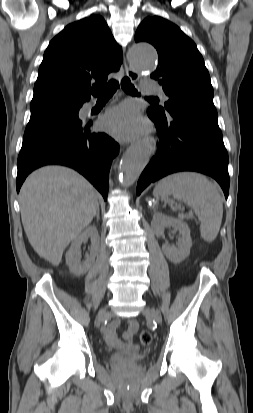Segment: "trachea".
<instances>
[{"label":"trachea","mask_w":253,"mask_h":413,"mask_svg":"<svg viewBox=\"0 0 253 413\" xmlns=\"http://www.w3.org/2000/svg\"><path fill=\"white\" fill-rule=\"evenodd\" d=\"M118 87V81L113 79L110 80L102 90H91V93L93 96L98 97V99H108L116 92ZM121 87L128 94L139 95L128 77H124L121 80Z\"/></svg>","instance_id":"obj_1"}]
</instances>
